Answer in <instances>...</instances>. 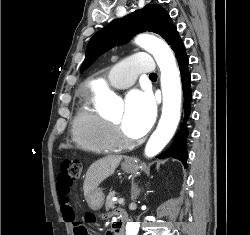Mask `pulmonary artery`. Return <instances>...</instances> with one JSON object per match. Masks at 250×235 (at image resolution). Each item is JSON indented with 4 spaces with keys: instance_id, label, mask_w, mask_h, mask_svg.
I'll list each match as a JSON object with an SVG mask.
<instances>
[{
    "instance_id": "obj_1",
    "label": "pulmonary artery",
    "mask_w": 250,
    "mask_h": 235,
    "mask_svg": "<svg viewBox=\"0 0 250 235\" xmlns=\"http://www.w3.org/2000/svg\"><path fill=\"white\" fill-rule=\"evenodd\" d=\"M155 63L152 56L147 52H139L131 55L114 68L107 76L109 84L117 89H124L131 86L136 73H153Z\"/></svg>"
}]
</instances>
